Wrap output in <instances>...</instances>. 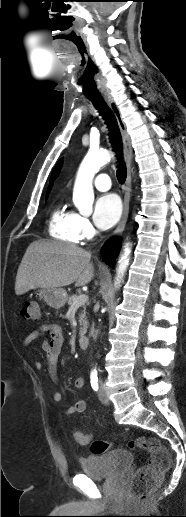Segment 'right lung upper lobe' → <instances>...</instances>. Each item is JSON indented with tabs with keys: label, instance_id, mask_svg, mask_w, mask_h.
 Returning <instances> with one entry per match:
<instances>
[{
	"label": "right lung upper lobe",
	"instance_id": "obj_1",
	"mask_svg": "<svg viewBox=\"0 0 186 517\" xmlns=\"http://www.w3.org/2000/svg\"><path fill=\"white\" fill-rule=\"evenodd\" d=\"M60 167H61V160L55 165L53 171H52V174H51V178H50V184L55 180V178L57 177L58 173H59V170H60ZM51 189V185H49L48 187V192L50 191Z\"/></svg>",
	"mask_w": 186,
	"mask_h": 517
}]
</instances>
